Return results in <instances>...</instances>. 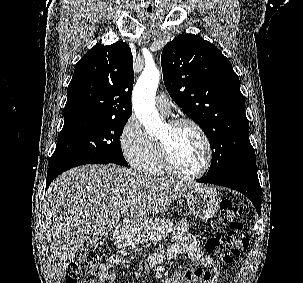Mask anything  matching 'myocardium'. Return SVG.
<instances>
[{
    "label": "myocardium",
    "mask_w": 303,
    "mask_h": 283,
    "mask_svg": "<svg viewBox=\"0 0 303 283\" xmlns=\"http://www.w3.org/2000/svg\"><path fill=\"white\" fill-rule=\"evenodd\" d=\"M170 129L175 130L182 126H190L192 127L201 137L204 148H205V161L202 168L195 173H184L181 172L175 165L169 144L167 141L157 138V144L159 149V155L161 159V163L165 170L172 176L177 178L193 180L198 179L205 175L211 167L213 160V149L210 142V139L204 129L194 120L191 119H176L168 123Z\"/></svg>",
    "instance_id": "myocardium-1"
}]
</instances>
